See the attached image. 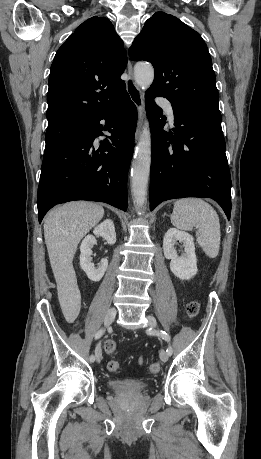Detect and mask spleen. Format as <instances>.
<instances>
[{
  "label": "spleen",
  "instance_id": "3e777b00",
  "mask_svg": "<svg viewBox=\"0 0 261 459\" xmlns=\"http://www.w3.org/2000/svg\"><path fill=\"white\" fill-rule=\"evenodd\" d=\"M171 223L180 230L197 228L196 239L209 258H216L220 248V223L214 208L200 198H182L174 203Z\"/></svg>",
  "mask_w": 261,
  "mask_h": 459
}]
</instances>
